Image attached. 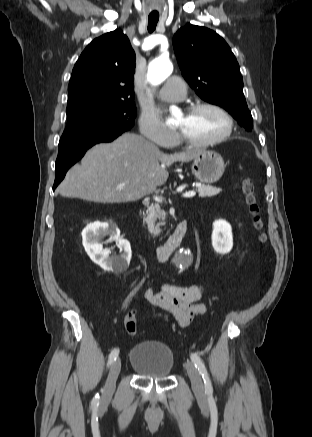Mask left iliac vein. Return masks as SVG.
Returning a JSON list of instances; mask_svg holds the SVG:
<instances>
[{"label": "left iliac vein", "instance_id": "left-iliac-vein-1", "mask_svg": "<svg viewBox=\"0 0 312 437\" xmlns=\"http://www.w3.org/2000/svg\"><path fill=\"white\" fill-rule=\"evenodd\" d=\"M186 370L191 380L192 388L195 395L199 398H204V386L198 369L192 362L186 363Z\"/></svg>", "mask_w": 312, "mask_h": 437}]
</instances>
